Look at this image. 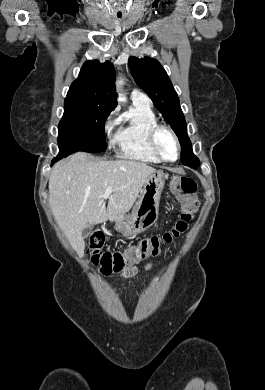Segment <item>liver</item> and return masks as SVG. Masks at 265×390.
<instances>
[{"mask_svg": "<svg viewBox=\"0 0 265 390\" xmlns=\"http://www.w3.org/2000/svg\"><path fill=\"white\" fill-rule=\"evenodd\" d=\"M156 170L132 160L93 161L79 152L57 163L49 178V204L56 222L73 249L84 253L82 230L87 224L110 222L127 213ZM113 192L103 198L107 187Z\"/></svg>", "mask_w": 265, "mask_h": 390, "instance_id": "1", "label": "liver"}]
</instances>
